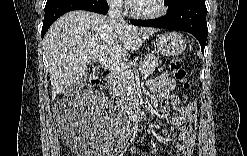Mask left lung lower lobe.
<instances>
[{"label":"left lung lower lobe","mask_w":247,"mask_h":156,"mask_svg":"<svg viewBox=\"0 0 247 156\" xmlns=\"http://www.w3.org/2000/svg\"><path fill=\"white\" fill-rule=\"evenodd\" d=\"M206 13L204 0H182L177 6L168 9L164 17L149 21L132 20L131 23L137 26L189 32L198 39L204 52L208 36Z\"/></svg>","instance_id":"1"}]
</instances>
